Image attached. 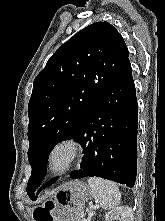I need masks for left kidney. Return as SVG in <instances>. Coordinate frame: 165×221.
<instances>
[{"mask_svg": "<svg viewBox=\"0 0 165 221\" xmlns=\"http://www.w3.org/2000/svg\"><path fill=\"white\" fill-rule=\"evenodd\" d=\"M120 217L121 221H133L132 209L128 206H118L106 214V220Z\"/></svg>", "mask_w": 165, "mask_h": 221, "instance_id": "obj_1", "label": "left kidney"}]
</instances>
